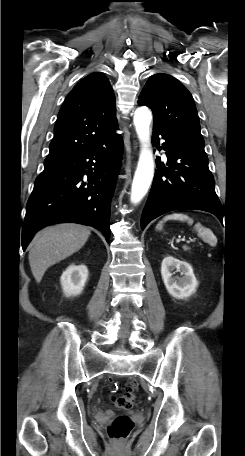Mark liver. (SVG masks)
Wrapping results in <instances>:
<instances>
[{
    "instance_id": "1",
    "label": "liver",
    "mask_w": 245,
    "mask_h": 456,
    "mask_svg": "<svg viewBox=\"0 0 245 456\" xmlns=\"http://www.w3.org/2000/svg\"><path fill=\"white\" fill-rule=\"evenodd\" d=\"M90 235L89 228L64 223L46 227L33 238L29 250V264L37 283L46 270L80 250Z\"/></svg>"
}]
</instances>
